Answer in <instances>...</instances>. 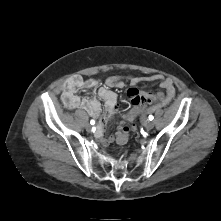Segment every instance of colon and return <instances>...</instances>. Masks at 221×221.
<instances>
[{"label":"colon","instance_id":"5ec220e1","mask_svg":"<svg viewBox=\"0 0 221 221\" xmlns=\"http://www.w3.org/2000/svg\"><path fill=\"white\" fill-rule=\"evenodd\" d=\"M155 101L154 97L147 95V99L143 103H137L135 108L132 111H129L123 121L119 123V128L115 137L116 145H124L127 142L128 136L130 135V126L133 125L134 120L138 119V116H141L143 113H147L152 107V102ZM147 108V109H146ZM146 109V110H145Z\"/></svg>","mask_w":221,"mask_h":221}]
</instances>
